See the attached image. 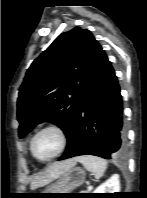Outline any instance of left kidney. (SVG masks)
<instances>
[{
	"label": "left kidney",
	"mask_w": 147,
	"mask_h": 198,
	"mask_svg": "<svg viewBox=\"0 0 147 198\" xmlns=\"http://www.w3.org/2000/svg\"><path fill=\"white\" fill-rule=\"evenodd\" d=\"M120 192L119 175L115 174L107 181L98 186L93 193H115Z\"/></svg>",
	"instance_id": "5707ae66"
}]
</instances>
